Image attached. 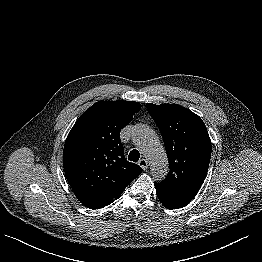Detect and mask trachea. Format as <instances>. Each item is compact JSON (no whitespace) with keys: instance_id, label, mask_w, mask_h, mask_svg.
<instances>
[{"instance_id":"3493384b","label":"trachea","mask_w":262,"mask_h":262,"mask_svg":"<svg viewBox=\"0 0 262 262\" xmlns=\"http://www.w3.org/2000/svg\"><path fill=\"white\" fill-rule=\"evenodd\" d=\"M139 157H140V154H139V151L134 149L132 150L129 155H128V159L130 161H133V162H137L139 160Z\"/></svg>"}]
</instances>
